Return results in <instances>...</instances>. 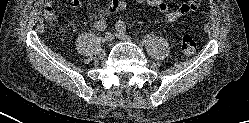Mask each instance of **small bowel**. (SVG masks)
Masks as SVG:
<instances>
[{"mask_svg":"<svg viewBox=\"0 0 249 123\" xmlns=\"http://www.w3.org/2000/svg\"><path fill=\"white\" fill-rule=\"evenodd\" d=\"M54 0H44V16L49 22L56 20V14L53 7ZM137 3H143L149 7L157 9L163 14L164 18L168 22H177L190 12L196 10L200 4V0H189L181 4L175 9H171L165 0H135ZM81 5L80 0H71V7L73 9L79 8ZM128 2L126 0H111L109 5L103 10L104 16H110L118 11L126 9Z\"/></svg>","mask_w":249,"mask_h":123,"instance_id":"1","label":"small bowel"}]
</instances>
